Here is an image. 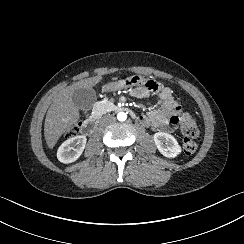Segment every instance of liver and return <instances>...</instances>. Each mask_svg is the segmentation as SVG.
Returning <instances> with one entry per match:
<instances>
[{
  "label": "liver",
  "instance_id": "1",
  "mask_svg": "<svg viewBox=\"0 0 244 244\" xmlns=\"http://www.w3.org/2000/svg\"><path fill=\"white\" fill-rule=\"evenodd\" d=\"M101 80L100 76L83 79L61 90L47 111L44 124L46 143L52 149L59 137L79 119V110L72 96L76 89L91 88Z\"/></svg>",
  "mask_w": 244,
  "mask_h": 244
}]
</instances>
